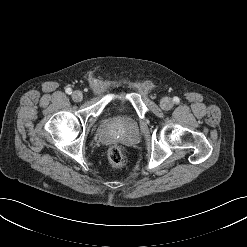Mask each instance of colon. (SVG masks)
<instances>
[{"instance_id":"obj_1","label":"colon","mask_w":247,"mask_h":247,"mask_svg":"<svg viewBox=\"0 0 247 247\" xmlns=\"http://www.w3.org/2000/svg\"><path fill=\"white\" fill-rule=\"evenodd\" d=\"M108 159L118 168L124 167L128 161L127 153L120 145H113L109 148Z\"/></svg>"}]
</instances>
